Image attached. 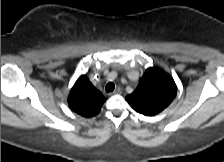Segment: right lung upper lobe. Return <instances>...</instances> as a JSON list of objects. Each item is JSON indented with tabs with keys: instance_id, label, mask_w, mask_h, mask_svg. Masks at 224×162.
<instances>
[{
	"instance_id": "right-lung-upper-lobe-1",
	"label": "right lung upper lobe",
	"mask_w": 224,
	"mask_h": 162,
	"mask_svg": "<svg viewBox=\"0 0 224 162\" xmlns=\"http://www.w3.org/2000/svg\"><path fill=\"white\" fill-rule=\"evenodd\" d=\"M105 101V97L92 85L86 75L78 78L68 99L70 108L84 117L97 115Z\"/></svg>"
}]
</instances>
